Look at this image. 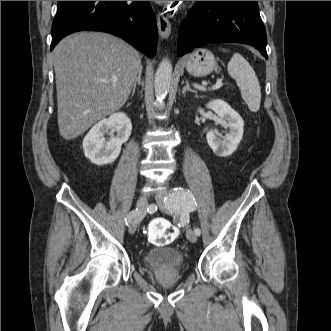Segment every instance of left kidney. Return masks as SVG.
Wrapping results in <instances>:
<instances>
[{"label": "left kidney", "mask_w": 331, "mask_h": 331, "mask_svg": "<svg viewBox=\"0 0 331 331\" xmlns=\"http://www.w3.org/2000/svg\"><path fill=\"white\" fill-rule=\"evenodd\" d=\"M207 108L213 110L219 117L218 122L229 129L226 136L221 139L217 130H210L206 134L207 142L213 152L220 157L231 155L243 136L244 121L241 116L223 100L217 99L209 102Z\"/></svg>", "instance_id": "obj_1"}]
</instances>
